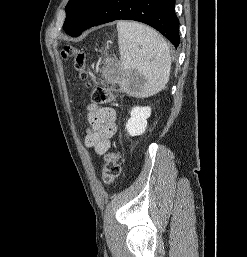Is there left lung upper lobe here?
<instances>
[{
  "label": "left lung upper lobe",
  "mask_w": 247,
  "mask_h": 257,
  "mask_svg": "<svg viewBox=\"0 0 247 257\" xmlns=\"http://www.w3.org/2000/svg\"><path fill=\"white\" fill-rule=\"evenodd\" d=\"M98 0H69L67 3L66 20L63 29L68 35L78 31L87 15Z\"/></svg>",
  "instance_id": "left-lung-upper-lobe-1"
}]
</instances>
